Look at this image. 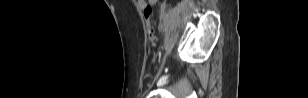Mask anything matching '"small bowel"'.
<instances>
[{"label":"small bowel","mask_w":308,"mask_h":98,"mask_svg":"<svg viewBox=\"0 0 308 98\" xmlns=\"http://www.w3.org/2000/svg\"><path fill=\"white\" fill-rule=\"evenodd\" d=\"M156 0H150V1H145V0H138L137 3L140 8L144 9L146 7H150L151 4H154Z\"/></svg>","instance_id":"obj_1"}]
</instances>
